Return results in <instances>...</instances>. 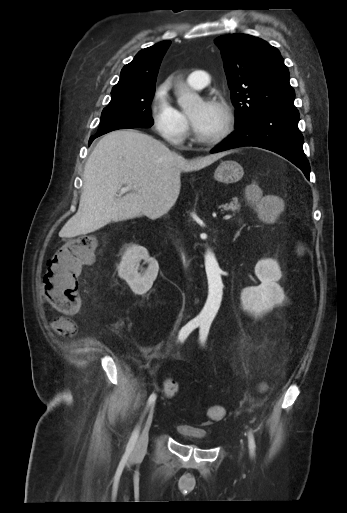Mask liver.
Wrapping results in <instances>:
<instances>
[{"mask_svg": "<svg viewBox=\"0 0 347 513\" xmlns=\"http://www.w3.org/2000/svg\"><path fill=\"white\" fill-rule=\"evenodd\" d=\"M229 153L188 161L140 131H112L99 140L89 156L78 211L59 235L72 238L94 232L112 221L140 216L155 220L164 214V202H176L182 171L199 170ZM123 185L132 187L119 196L117 192Z\"/></svg>", "mask_w": 347, "mask_h": 513, "instance_id": "liver-1", "label": "liver"}]
</instances>
